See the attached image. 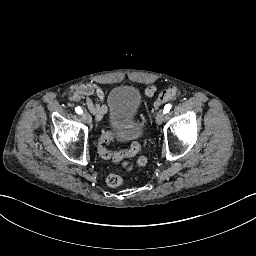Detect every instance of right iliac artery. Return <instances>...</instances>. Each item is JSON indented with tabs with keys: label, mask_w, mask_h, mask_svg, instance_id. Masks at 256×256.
<instances>
[{
	"label": "right iliac artery",
	"mask_w": 256,
	"mask_h": 256,
	"mask_svg": "<svg viewBox=\"0 0 256 256\" xmlns=\"http://www.w3.org/2000/svg\"><path fill=\"white\" fill-rule=\"evenodd\" d=\"M75 111H76L77 114H82L83 113V110L81 109L80 106L76 107Z\"/></svg>",
	"instance_id": "82829eb1"
}]
</instances>
